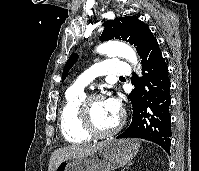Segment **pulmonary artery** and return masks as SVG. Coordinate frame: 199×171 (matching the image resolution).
<instances>
[{
    "label": "pulmonary artery",
    "instance_id": "pulmonary-artery-1",
    "mask_svg": "<svg viewBox=\"0 0 199 171\" xmlns=\"http://www.w3.org/2000/svg\"><path fill=\"white\" fill-rule=\"evenodd\" d=\"M129 74V64L116 59L103 60L85 71L76 81V83L70 88L83 90L90 83L94 76H125Z\"/></svg>",
    "mask_w": 199,
    "mask_h": 171
}]
</instances>
